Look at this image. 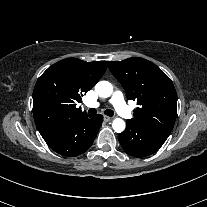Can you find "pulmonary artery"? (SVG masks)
<instances>
[{
	"mask_svg": "<svg viewBox=\"0 0 207 207\" xmlns=\"http://www.w3.org/2000/svg\"><path fill=\"white\" fill-rule=\"evenodd\" d=\"M110 103L114 106L115 110L122 116L126 118L131 117V112L128 109L127 105L124 102L123 94L120 91H116L113 93V95L110 98ZM98 102H88L87 106L89 107H99Z\"/></svg>",
	"mask_w": 207,
	"mask_h": 207,
	"instance_id": "e3ab8cb5",
	"label": "pulmonary artery"
}]
</instances>
